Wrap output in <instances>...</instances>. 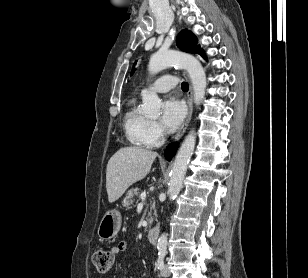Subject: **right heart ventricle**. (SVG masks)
Masks as SVG:
<instances>
[{"instance_id": "e07e8e85", "label": "right heart ventricle", "mask_w": 308, "mask_h": 278, "mask_svg": "<svg viewBox=\"0 0 308 278\" xmlns=\"http://www.w3.org/2000/svg\"><path fill=\"white\" fill-rule=\"evenodd\" d=\"M149 122L139 110L136 99H131L124 115V130L132 144L140 147L149 146L147 139Z\"/></svg>"}]
</instances>
